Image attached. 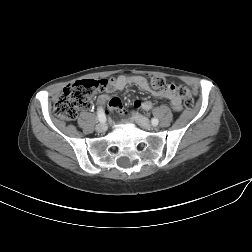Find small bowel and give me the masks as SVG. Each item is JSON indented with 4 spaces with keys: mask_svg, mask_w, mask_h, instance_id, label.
Wrapping results in <instances>:
<instances>
[{
    "mask_svg": "<svg viewBox=\"0 0 252 252\" xmlns=\"http://www.w3.org/2000/svg\"><path fill=\"white\" fill-rule=\"evenodd\" d=\"M134 85L144 91L149 90L148 82L145 77L141 75H120L116 78H112L107 81L106 92L114 93L124 90L126 87ZM153 95L157 98H167L170 100V104L172 108L176 111H180L182 109V101L178 95H176L174 89H163L159 91L153 92ZM109 101V104L114 109L123 113V107L119 99L117 98H109L107 95H100L98 98V102L100 104H104ZM136 105L141 107L144 110H150L153 107V103L151 101H137Z\"/></svg>",
    "mask_w": 252,
    "mask_h": 252,
    "instance_id": "1",
    "label": "small bowel"
}]
</instances>
